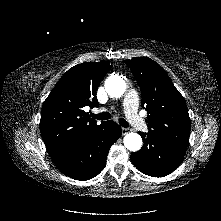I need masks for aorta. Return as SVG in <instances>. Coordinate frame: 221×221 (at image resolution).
<instances>
[{"mask_svg": "<svg viewBox=\"0 0 221 221\" xmlns=\"http://www.w3.org/2000/svg\"><path fill=\"white\" fill-rule=\"evenodd\" d=\"M105 89L112 98H120L126 91V82L121 76L112 75L106 79ZM124 145L130 151H138L142 146V138L139 134L130 132L124 137Z\"/></svg>", "mask_w": 221, "mask_h": 221, "instance_id": "762f6f07", "label": "aorta"}]
</instances>
